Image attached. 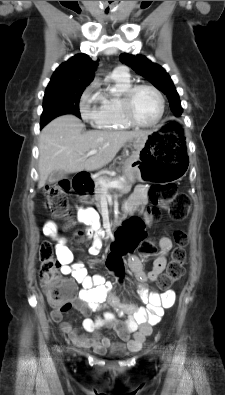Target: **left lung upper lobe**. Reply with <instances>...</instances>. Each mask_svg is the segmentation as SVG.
<instances>
[{"instance_id":"obj_1","label":"left lung upper lobe","mask_w":225,"mask_h":395,"mask_svg":"<svg viewBox=\"0 0 225 395\" xmlns=\"http://www.w3.org/2000/svg\"><path fill=\"white\" fill-rule=\"evenodd\" d=\"M120 61L130 66L136 73L149 80L157 89L162 91L168 98L170 108L176 116L183 112L179 95L168 73L159 65L152 63L145 56L130 55L123 53Z\"/></svg>"}]
</instances>
